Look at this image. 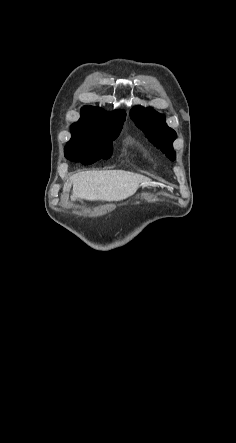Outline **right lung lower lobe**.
Instances as JSON below:
<instances>
[{"label": "right lung lower lobe", "mask_w": 236, "mask_h": 443, "mask_svg": "<svg viewBox=\"0 0 236 443\" xmlns=\"http://www.w3.org/2000/svg\"><path fill=\"white\" fill-rule=\"evenodd\" d=\"M65 157L73 162H81L89 165L99 159H108L112 154V150H103L92 146H74L65 148Z\"/></svg>", "instance_id": "obj_1"}]
</instances>
